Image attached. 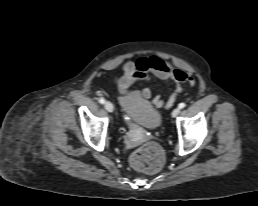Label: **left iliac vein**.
<instances>
[{
  "instance_id": "obj_1",
  "label": "left iliac vein",
  "mask_w": 258,
  "mask_h": 206,
  "mask_svg": "<svg viewBox=\"0 0 258 206\" xmlns=\"http://www.w3.org/2000/svg\"><path fill=\"white\" fill-rule=\"evenodd\" d=\"M180 113V108H175L173 111H172V117H176L178 114Z\"/></svg>"
}]
</instances>
